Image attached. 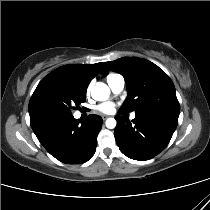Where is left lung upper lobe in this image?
I'll return each mask as SVG.
<instances>
[{
	"mask_svg": "<svg viewBox=\"0 0 210 210\" xmlns=\"http://www.w3.org/2000/svg\"><path fill=\"white\" fill-rule=\"evenodd\" d=\"M103 65L102 73L107 70L119 72L127 81L128 96L119 109L121 112L179 116L180 105L174 84L157 65L138 57H123Z\"/></svg>",
	"mask_w": 210,
	"mask_h": 210,
	"instance_id": "obj_1",
	"label": "left lung upper lobe"
}]
</instances>
